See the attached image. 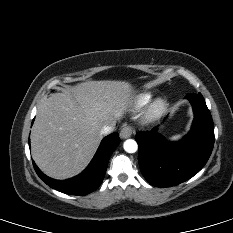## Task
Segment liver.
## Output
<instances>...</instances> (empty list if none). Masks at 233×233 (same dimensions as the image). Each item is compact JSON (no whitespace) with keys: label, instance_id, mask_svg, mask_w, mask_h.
I'll return each mask as SVG.
<instances>
[{"label":"liver","instance_id":"obj_1","mask_svg":"<svg viewBox=\"0 0 233 233\" xmlns=\"http://www.w3.org/2000/svg\"><path fill=\"white\" fill-rule=\"evenodd\" d=\"M134 89L126 81H89L55 93L39 107L31 132L32 157L49 177L67 179L89 164L104 125L123 118Z\"/></svg>","mask_w":233,"mask_h":233}]
</instances>
